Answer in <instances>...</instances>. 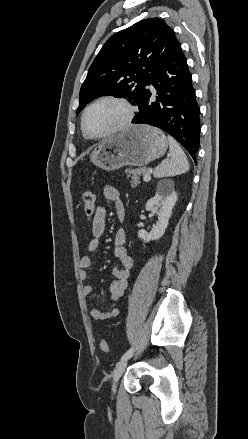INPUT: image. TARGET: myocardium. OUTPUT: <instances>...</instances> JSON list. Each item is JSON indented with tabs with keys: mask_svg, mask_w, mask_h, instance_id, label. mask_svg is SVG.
I'll return each mask as SVG.
<instances>
[{
	"mask_svg": "<svg viewBox=\"0 0 248 439\" xmlns=\"http://www.w3.org/2000/svg\"><path fill=\"white\" fill-rule=\"evenodd\" d=\"M106 101L115 102V103H118L119 105H121L126 112L125 118L120 125H118L117 127L113 128L110 131H107V132H105L103 134H99V135L91 134L87 131L86 126H85L86 116H87L88 112L90 111V109L93 108L95 105H97L101 102H106ZM134 116H135V107L127 99H125L123 97H119V96H114V95L102 96V97L95 99L93 102H91L84 109V111L82 113V117H81V130H82L84 136L87 137L88 139L95 140V139L106 138V137H109L111 135L117 134L119 132H122V131L128 129L134 120Z\"/></svg>",
	"mask_w": 248,
	"mask_h": 439,
	"instance_id": "f54148a6",
	"label": "myocardium"
}]
</instances>
